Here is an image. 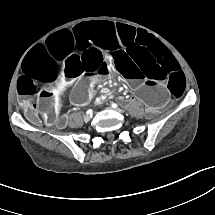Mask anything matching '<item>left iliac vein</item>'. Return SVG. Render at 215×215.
Here are the masks:
<instances>
[{
	"label": "left iliac vein",
	"mask_w": 215,
	"mask_h": 215,
	"mask_svg": "<svg viewBox=\"0 0 215 215\" xmlns=\"http://www.w3.org/2000/svg\"><path fill=\"white\" fill-rule=\"evenodd\" d=\"M115 110H117L118 112H120V113H123V111L122 110H120V109H115Z\"/></svg>",
	"instance_id": "left-iliac-vein-1"
}]
</instances>
